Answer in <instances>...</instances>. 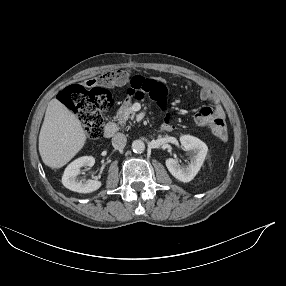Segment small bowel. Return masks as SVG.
<instances>
[{"mask_svg": "<svg viewBox=\"0 0 286 286\" xmlns=\"http://www.w3.org/2000/svg\"><path fill=\"white\" fill-rule=\"evenodd\" d=\"M130 80H131L130 73L126 71H115V76L109 80L99 79V80H91L90 82L93 84L101 82V83L108 84V85L121 86V85L130 83ZM199 97L202 100L211 101L215 103L216 107L215 108L205 107L199 110L198 113L196 114V121L200 124H204L202 123V121L205 119L219 118L225 123V115H224L223 109L219 105V97L215 93H213L212 90L208 86L200 85ZM122 106L123 108L117 110L114 115L115 120L118 122L123 121L127 117L128 115L127 110L132 108L133 103L131 100L126 99L123 101ZM161 129L163 131H170L172 130V125L170 124V122L166 121L161 126Z\"/></svg>", "mask_w": 286, "mask_h": 286, "instance_id": "c3829d8e", "label": "small bowel"}]
</instances>
